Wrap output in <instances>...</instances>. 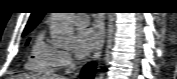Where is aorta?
Masks as SVG:
<instances>
[{
  "label": "aorta",
  "instance_id": "762f6f07",
  "mask_svg": "<svg viewBox=\"0 0 177 79\" xmlns=\"http://www.w3.org/2000/svg\"><path fill=\"white\" fill-rule=\"evenodd\" d=\"M50 34L54 46L62 48L72 45L74 28L68 19L67 13H52ZM97 79H104V74L100 73Z\"/></svg>",
  "mask_w": 177,
  "mask_h": 79
}]
</instances>
